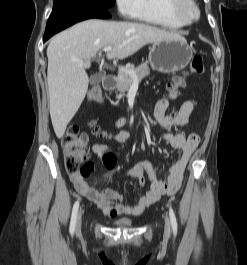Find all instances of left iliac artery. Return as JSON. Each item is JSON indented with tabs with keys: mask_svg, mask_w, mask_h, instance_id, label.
<instances>
[{
	"mask_svg": "<svg viewBox=\"0 0 247 265\" xmlns=\"http://www.w3.org/2000/svg\"><path fill=\"white\" fill-rule=\"evenodd\" d=\"M169 216L174 235L177 234V221L172 207L169 208Z\"/></svg>",
	"mask_w": 247,
	"mask_h": 265,
	"instance_id": "obj_1",
	"label": "left iliac artery"
}]
</instances>
